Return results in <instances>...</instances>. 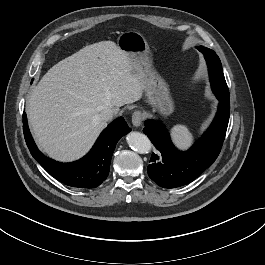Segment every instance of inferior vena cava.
<instances>
[{
    "mask_svg": "<svg viewBox=\"0 0 265 265\" xmlns=\"http://www.w3.org/2000/svg\"><path fill=\"white\" fill-rule=\"evenodd\" d=\"M115 111L111 108H107L99 114V117L103 121H108L114 116Z\"/></svg>",
    "mask_w": 265,
    "mask_h": 265,
    "instance_id": "602c4592",
    "label": "inferior vena cava"
}]
</instances>
